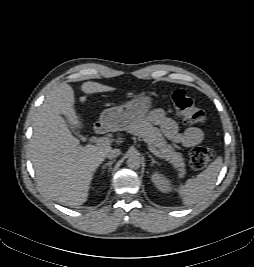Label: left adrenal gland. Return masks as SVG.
<instances>
[{"instance_id":"a2214340","label":"left adrenal gland","mask_w":254,"mask_h":267,"mask_svg":"<svg viewBox=\"0 0 254 267\" xmlns=\"http://www.w3.org/2000/svg\"><path fill=\"white\" fill-rule=\"evenodd\" d=\"M150 159H151V165L153 166L154 164H158V162L154 159V157L152 155H149Z\"/></svg>"}]
</instances>
